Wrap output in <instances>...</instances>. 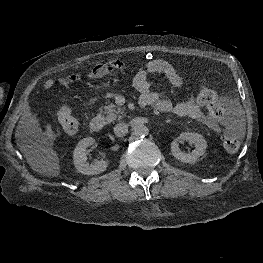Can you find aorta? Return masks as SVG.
<instances>
[{
    "label": "aorta",
    "mask_w": 263,
    "mask_h": 263,
    "mask_svg": "<svg viewBox=\"0 0 263 263\" xmlns=\"http://www.w3.org/2000/svg\"><path fill=\"white\" fill-rule=\"evenodd\" d=\"M148 133L149 129L143 124H139L134 128V134L137 137H145L148 135Z\"/></svg>",
    "instance_id": "obj_1"
}]
</instances>
